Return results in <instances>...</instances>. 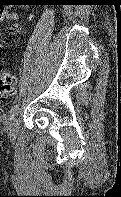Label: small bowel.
Here are the masks:
<instances>
[{
  "label": "small bowel",
  "instance_id": "obj_1",
  "mask_svg": "<svg viewBox=\"0 0 121 197\" xmlns=\"http://www.w3.org/2000/svg\"><path fill=\"white\" fill-rule=\"evenodd\" d=\"M18 19V14L15 12H10L7 8L0 7V23L5 20L16 21Z\"/></svg>",
  "mask_w": 121,
  "mask_h": 197
}]
</instances>
